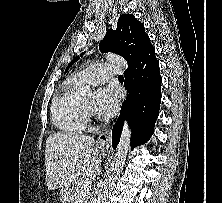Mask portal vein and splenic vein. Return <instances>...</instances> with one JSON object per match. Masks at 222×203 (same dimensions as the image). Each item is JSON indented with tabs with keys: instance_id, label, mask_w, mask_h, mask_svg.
Instances as JSON below:
<instances>
[{
	"instance_id": "18ae733b",
	"label": "portal vein and splenic vein",
	"mask_w": 222,
	"mask_h": 203,
	"mask_svg": "<svg viewBox=\"0 0 222 203\" xmlns=\"http://www.w3.org/2000/svg\"><path fill=\"white\" fill-rule=\"evenodd\" d=\"M91 188V181H86L85 184H84V189L86 191H88L89 189Z\"/></svg>"
}]
</instances>
